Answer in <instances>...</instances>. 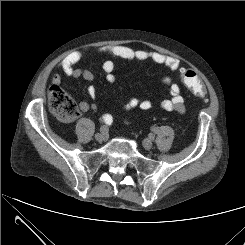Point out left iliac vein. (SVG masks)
<instances>
[{
  "label": "left iliac vein",
  "instance_id": "1",
  "mask_svg": "<svg viewBox=\"0 0 245 245\" xmlns=\"http://www.w3.org/2000/svg\"><path fill=\"white\" fill-rule=\"evenodd\" d=\"M153 143L150 139H144L143 140V147L147 150H149L152 147Z\"/></svg>",
  "mask_w": 245,
  "mask_h": 245
}]
</instances>
